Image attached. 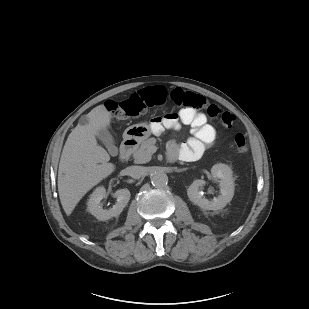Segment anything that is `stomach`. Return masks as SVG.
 Wrapping results in <instances>:
<instances>
[{
  "label": "stomach",
  "instance_id": "obj_1",
  "mask_svg": "<svg viewBox=\"0 0 309 309\" xmlns=\"http://www.w3.org/2000/svg\"><path fill=\"white\" fill-rule=\"evenodd\" d=\"M151 129L148 124L140 123L128 127L123 134L124 139L141 142L151 135Z\"/></svg>",
  "mask_w": 309,
  "mask_h": 309
}]
</instances>
